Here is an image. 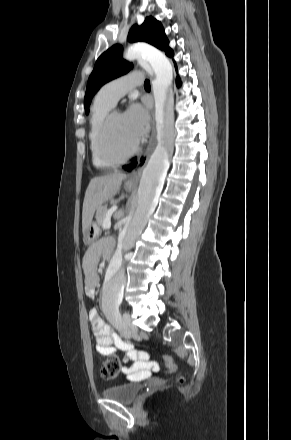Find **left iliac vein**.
<instances>
[{
  "instance_id": "1",
  "label": "left iliac vein",
  "mask_w": 291,
  "mask_h": 440,
  "mask_svg": "<svg viewBox=\"0 0 291 440\" xmlns=\"http://www.w3.org/2000/svg\"><path fill=\"white\" fill-rule=\"evenodd\" d=\"M122 318L126 326V330L123 332L124 336L130 338L134 334H137L138 328L132 323L131 315L129 313H124Z\"/></svg>"
}]
</instances>
